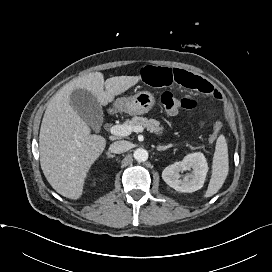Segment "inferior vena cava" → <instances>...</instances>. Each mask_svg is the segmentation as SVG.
<instances>
[{
    "label": "inferior vena cava",
    "mask_w": 272,
    "mask_h": 272,
    "mask_svg": "<svg viewBox=\"0 0 272 272\" xmlns=\"http://www.w3.org/2000/svg\"><path fill=\"white\" fill-rule=\"evenodd\" d=\"M130 149H131V143L128 141H124V140L116 141V142L112 143L109 147V150L112 153H116V154L126 152Z\"/></svg>",
    "instance_id": "obj_1"
}]
</instances>
